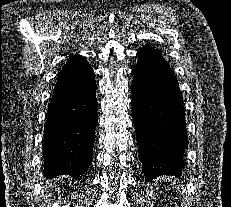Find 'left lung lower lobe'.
Here are the masks:
<instances>
[{"instance_id":"0a47b994","label":"left lung lower lobe","mask_w":231,"mask_h":207,"mask_svg":"<svg viewBox=\"0 0 231 207\" xmlns=\"http://www.w3.org/2000/svg\"><path fill=\"white\" fill-rule=\"evenodd\" d=\"M137 56L132 106L145 179L178 176L185 167L183 154L188 145L178 81L159 50L144 46Z\"/></svg>"}]
</instances>
